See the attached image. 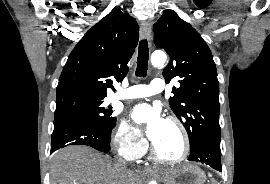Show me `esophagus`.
Wrapping results in <instances>:
<instances>
[{
	"label": "esophagus",
	"instance_id": "obj_1",
	"mask_svg": "<svg viewBox=\"0 0 270 184\" xmlns=\"http://www.w3.org/2000/svg\"><path fill=\"white\" fill-rule=\"evenodd\" d=\"M151 34V23L149 21H142L140 24V36L142 38L149 39ZM146 172H150V169H145Z\"/></svg>",
	"mask_w": 270,
	"mask_h": 184
}]
</instances>
